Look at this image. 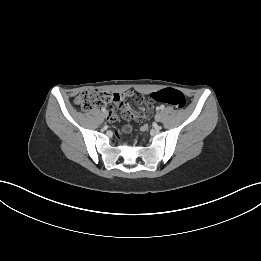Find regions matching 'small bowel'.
Listing matches in <instances>:
<instances>
[{
  "instance_id": "obj_1",
  "label": "small bowel",
  "mask_w": 261,
  "mask_h": 261,
  "mask_svg": "<svg viewBox=\"0 0 261 261\" xmlns=\"http://www.w3.org/2000/svg\"><path fill=\"white\" fill-rule=\"evenodd\" d=\"M122 101L124 102V113L126 114V116L136 119V120H142L144 118H146L148 116V114L150 113L151 109H152V104H154L155 99L152 96H146L144 97L143 95L139 94V93H135L134 90H129L127 94H119ZM129 98L130 101L135 102L139 105H146V108L140 110V111H133L130 108V105L128 104V102L125 100V98Z\"/></svg>"
}]
</instances>
